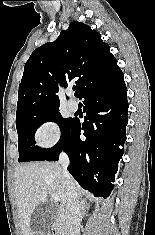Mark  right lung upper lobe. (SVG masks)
I'll use <instances>...</instances> for the list:
<instances>
[{
  "instance_id": "1",
  "label": "right lung upper lobe",
  "mask_w": 155,
  "mask_h": 235,
  "mask_svg": "<svg viewBox=\"0 0 155 235\" xmlns=\"http://www.w3.org/2000/svg\"><path fill=\"white\" fill-rule=\"evenodd\" d=\"M120 68L108 44L90 26L77 21L54 42L33 51L19 85L16 117L30 111L59 108L58 88L74 80L76 96L90 84Z\"/></svg>"
}]
</instances>
